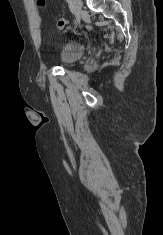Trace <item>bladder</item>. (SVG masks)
<instances>
[{
    "instance_id": "obj_1",
    "label": "bladder",
    "mask_w": 163,
    "mask_h": 235,
    "mask_svg": "<svg viewBox=\"0 0 163 235\" xmlns=\"http://www.w3.org/2000/svg\"><path fill=\"white\" fill-rule=\"evenodd\" d=\"M84 54V47L77 42L69 41L60 50V60L63 66H70L77 62Z\"/></svg>"
}]
</instances>
